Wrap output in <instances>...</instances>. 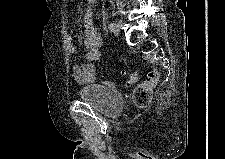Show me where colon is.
Masks as SVG:
<instances>
[{"mask_svg":"<svg viewBox=\"0 0 225 159\" xmlns=\"http://www.w3.org/2000/svg\"><path fill=\"white\" fill-rule=\"evenodd\" d=\"M138 72L136 70L130 72L126 78V84L131 85L137 82ZM159 81V72L157 70H150L147 73L146 79L141 82L133 91V104L140 109L149 106L152 98V93Z\"/></svg>","mask_w":225,"mask_h":159,"instance_id":"obj_1","label":"colon"}]
</instances>
